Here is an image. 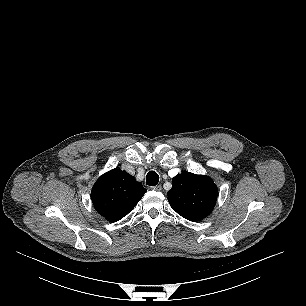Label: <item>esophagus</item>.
Segmentation results:
<instances>
[{
    "label": "esophagus",
    "instance_id": "obj_1",
    "mask_svg": "<svg viewBox=\"0 0 306 306\" xmlns=\"http://www.w3.org/2000/svg\"><path fill=\"white\" fill-rule=\"evenodd\" d=\"M152 190L154 191H160L162 189L161 185H156L151 187Z\"/></svg>",
    "mask_w": 306,
    "mask_h": 306
}]
</instances>
